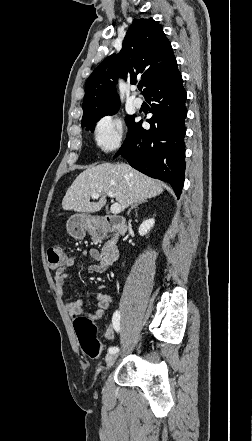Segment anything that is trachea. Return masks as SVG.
<instances>
[{"label":"trachea","mask_w":252,"mask_h":441,"mask_svg":"<svg viewBox=\"0 0 252 441\" xmlns=\"http://www.w3.org/2000/svg\"><path fill=\"white\" fill-rule=\"evenodd\" d=\"M142 88H143L142 85L138 86V89H139L140 91L142 90Z\"/></svg>","instance_id":"1"}]
</instances>
